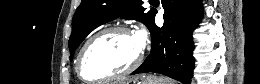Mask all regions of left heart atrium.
Returning <instances> with one entry per match:
<instances>
[{
    "instance_id": "39dd6f15",
    "label": "left heart atrium",
    "mask_w": 260,
    "mask_h": 84,
    "mask_svg": "<svg viewBox=\"0 0 260 84\" xmlns=\"http://www.w3.org/2000/svg\"><path fill=\"white\" fill-rule=\"evenodd\" d=\"M135 37L140 45L141 48H143L145 46V44L147 43L148 40V33L146 31L145 28H140L136 34Z\"/></svg>"
}]
</instances>
